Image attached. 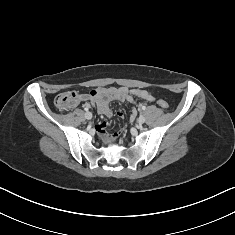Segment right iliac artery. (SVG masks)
I'll list each match as a JSON object with an SVG mask.
<instances>
[{
	"instance_id": "82829eb1",
	"label": "right iliac artery",
	"mask_w": 235,
	"mask_h": 235,
	"mask_svg": "<svg viewBox=\"0 0 235 235\" xmlns=\"http://www.w3.org/2000/svg\"><path fill=\"white\" fill-rule=\"evenodd\" d=\"M84 110H85L86 112H88L89 109L86 107V108H84Z\"/></svg>"
}]
</instances>
